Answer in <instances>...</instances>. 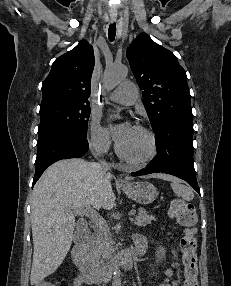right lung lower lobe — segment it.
<instances>
[{
	"label": "right lung lower lobe",
	"instance_id": "right-lung-lower-lobe-1",
	"mask_svg": "<svg viewBox=\"0 0 231 286\" xmlns=\"http://www.w3.org/2000/svg\"><path fill=\"white\" fill-rule=\"evenodd\" d=\"M88 147L86 137L74 133L56 134L37 142L33 186L51 164L61 159L79 158L86 154Z\"/></svg>",
	"mask_w": 231,
	"mask_h": 286
}]
</instances>
